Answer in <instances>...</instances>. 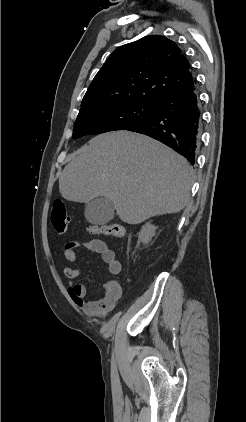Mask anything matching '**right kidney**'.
<instances>
[{
  "label": "right kidney",
  "mask_w": 246,
  "mask_h": 422,
  "mask_svg": "<svg viewBox=\"0 0 246 422\" xmlns=\"http://www.w3.org/2000/svg\"><path fill=\"white\" fill-rule=\"evenodd\" d=\"M157 227L154 225H151L150 223H146L141 231L138 233V242H142L144 244H148L152 237L155 236V231Z\"/></svg>",
  "instance_id": "ca27d5eb"
}]
</instances>
